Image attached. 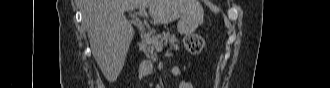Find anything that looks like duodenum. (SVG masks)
I'll return each mask as SVG.
<instances>
[{"label":"duodenum","instance_id":"obj_1","mask_svg":"<svg viewBox=\"0 0 330 88\" xmlns=\"http://www.w3.org/2000/svg\"><path fill=\"white\" fill-rule=\"evenodd\" d=\"M139 71L142 75H150L154 72V67L150 62H143L139 66Z\"/></svg>","mask_w":330,"mask_h":88}]
</instances>
